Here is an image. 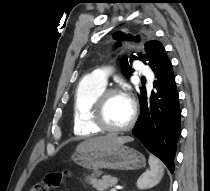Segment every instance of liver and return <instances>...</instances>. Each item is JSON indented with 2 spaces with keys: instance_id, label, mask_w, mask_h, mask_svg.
Here are the masks:
<instances>
[{
  "instance_id": "6515ba94",
  "label": "liver",
  "mask_w": 210,
  "mask_h": 191,
  "mask_svg": "<svg viewBox=\"0 0 210 191\" xmlns=\"http://www.w3.org/2000/svg\"><path fill=\"white\" fill-rule=\"evenodd\" d=\"M133 141L129 136L119 137L115 134H108L106 136H99L87 139L77 146V150H93L107 148L118 144H124Z\"/></svg>"
}]
</instances>
